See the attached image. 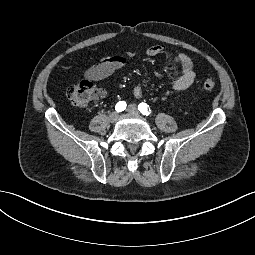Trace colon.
<instances>
[{
  "instance_id": "obj_1",
  "label": "colon",
  "mask_w": 255,
  "mask_h": 255,
  "mask_svg": "<svg viewBox=\"0 0 255 255\" xmlns=\"http://www.w3.org/2000/svg\"><path fill=\"white\" fill-rule=\"evenodd\" d=\"M213 79H206L203 82V88L207 91L215 88ZM67 98L78 107H86L96 95V90L93 85L87 81L71 85L66 90Z\"/></svg>"
}]
</instances>
